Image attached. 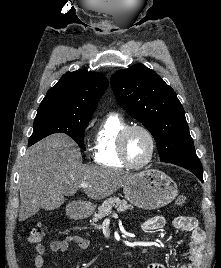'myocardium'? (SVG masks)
Returning a JSON list of instances; mask_svg holds the SVG:
<instances>
[{
    "instance_id": "myocardium-1",
    "label": "myocardium",
    "mask_w": 221,
    "mask_h": 268,
    "mask_svg": "<svg viewBox=\"0 0 221 268\" xmlns=\"http://www.w3.org/2000/svg\"><path fill=\"white\" fill-rule=\"evenodd\" d=\"M135 130H139L145 133L150 141V153L147 159L140 164L132 163L128 158L127 150H126L127 137L132 131H135ZM117 145H118V155H119L120 160L126 167L131 168V169H141L147 166L153 160L155 156V152H156V140H155L153 133L145 126L137 125V124L127 125L121 130L118 136Z\"/></svg>"
}]
</instances>
